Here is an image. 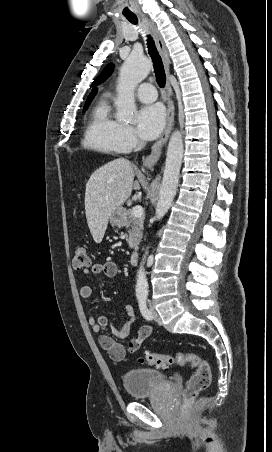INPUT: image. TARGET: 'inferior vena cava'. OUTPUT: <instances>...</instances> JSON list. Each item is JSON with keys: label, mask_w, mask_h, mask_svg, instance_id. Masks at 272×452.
<instances>
[{"label": "inferior vena cava", "mask_w": 272, "mask_h": 452, "mask_svg": "<svg viewBox=\"0 0 272 452\" xmlns=\"http://www.w3.org/2000/svg\"><path fill=\"white\" fill-rule=\"evenodd\" d=\"M144 142H140L138 148H142L144 146Z\"/></svg>", "instance_id": "obj_1"}]
</instances>
